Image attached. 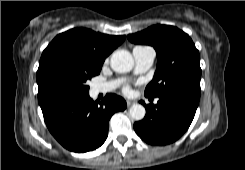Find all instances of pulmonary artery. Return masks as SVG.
Returning a JSON list of instances; mask_svg holds the SVG:
<instances>
[{
    "label": "pulmonary artery",
    "instance_id": "e3ab8cb5",
    "mask_svg": "<svg viewBox=\"0 0 245 170\" xmlns=\"http://www.w3.org/2000/svg\"><path fill=\"white\" fill-rule=\"evenodd\" d=\"M135 59V72L143 73L147 71L153 64L155 59V51L148 46H137L133 49ZM119 81H111L95 86L96 92L106 93L115 89L119 85Z\"/></svg>",
    "mask_w": 245,
    "mask_h": 170
}]
</instances>
